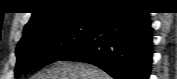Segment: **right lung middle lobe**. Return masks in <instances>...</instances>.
Wrapping results in <instances>:
<instances>
[{
  "label": "right lung middle lobe",
  "mask_w": 177,
  "mask_h": 79,
  "mask_svg": "<svg viewBox=\"0 0 177 79\" xmlns=\"http://www.w3.org/2000/svg\"><path fill=\"white\" fill-rule=\"evenodd\" d=\"M97 18L53 24L25 34L16 49L15 77L60 60L88 38Z\"/></svg>",
  "instance_id": "right-lung-middle-lobe-1"
}]
</instances>
